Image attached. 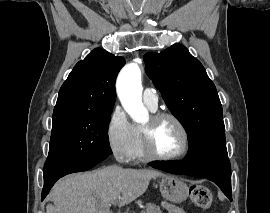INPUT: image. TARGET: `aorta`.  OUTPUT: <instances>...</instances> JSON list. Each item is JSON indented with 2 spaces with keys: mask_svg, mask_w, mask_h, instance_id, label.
<instances>
[{
  "mask_svg": "<svg viewBox=\"0 0 270 213\" xmlns=\"http://www.w3.org/2000/svg\"><path fill=\"white\" fill-rule=\"evenodd\" d=\"M116 89L123 108L132 120L138 123L145 121L148 111L142 103L141 70L137 63H129L121 70Z\"/></svg>",
  "mask_w": 270,
  "mask_h": 213,
  "instance_id": "762f6f07",
  "label": "aorta"
}]
</instances>
